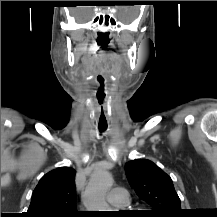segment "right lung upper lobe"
Instances as JSON below:
<instances>
[{"label": "right lung upper lobe", "mask_w": 217, "mask_h": 217, "mask_svg": "<svg viewBox=\"0 0 217 217\" xmlns=\"http://www.w3.org/2000/svg\"><path fill=\"white\" fill-rule=\"evenodd\" d=\"M75 174L61 167L45 174L36 186L26 217H62L78 215L75 198Z\"/></svg>", "instance_id": "right-lung-upper-lobe-1"}]
</instances>
